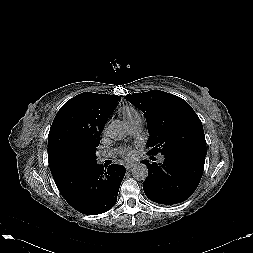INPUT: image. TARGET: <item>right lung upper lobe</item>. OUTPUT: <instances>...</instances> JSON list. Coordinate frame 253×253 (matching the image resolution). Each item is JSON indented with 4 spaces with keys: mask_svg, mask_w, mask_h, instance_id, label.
<instances>
[{
    "mask_svg": "<svg viewBox=\"0 0 253 253\" xmlns=\"http://www.w3.org/2000/svg\"><path fill=\"white\" fill-rule=\"evenodd\" d=\"M120 96L91 92L68 100L56 114L48 135V161L53 178L74 170L67 165L75 152L100 144V134Z\"/></svg>",
    "mask_w": 253,
    "mask_h": 253,
    "instance_id": "obj_1",
    "label": "right lung upper lobe"
}]
</instances>
